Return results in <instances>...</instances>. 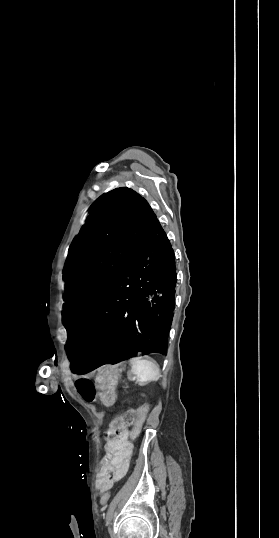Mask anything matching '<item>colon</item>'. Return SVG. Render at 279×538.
Returning <instances> with one entry per match:
<instances>
[{"mask_svg":"<svg viewBox=\"0 0 279 538\" xmlns=\"http://www.w3.org/2000/svg\"><path fill=\"white\" fill-rule=\"evenodd\" d=\"M133 425L131 432L132 438H136L142 428L143 418L138 417L135 419L133 411H127L119 416H117L111 423L109 428L104 434V437L107 441V446L103 456L100 458L97 465V481H102L107 478L110 473L111 461L113 456L112 445L119 439L122 430L126 427ZM110 494L109 492H104L101 496L100 502L102 505H106L109 502Z\"/></svg>","mask_w":279,"mask_h":538,"instance_id":"1","label":"colon"}]
</instances>
